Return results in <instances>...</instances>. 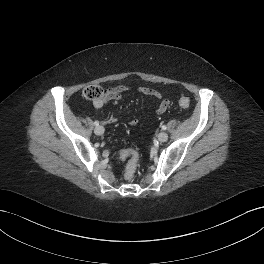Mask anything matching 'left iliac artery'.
Listing matches in <instances>:
<instances>
[{
	"instance_id": "left-iliac-artery-1",
	"label": "left iliac artery",
	"mask_w": 264,
	"mask_h": 264,
	"mask_svg": "<svg viewBox=\"0 0 264 264\" xmlns=\"http://www.w3.org/2000/svg\"><path fill=\"white\" fill-rule=\"evenodd\" d=\"M166 128H167V127H166L165 125L162 126V129H163V130H166Z\"/></svg>"
}]
</instances>
